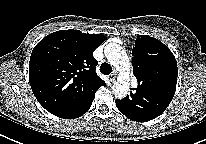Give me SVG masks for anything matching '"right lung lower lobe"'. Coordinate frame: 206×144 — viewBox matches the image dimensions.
Segmentation results:
<instances>
[{
  "instance_id": "98d812e1",
  "label": "right lung lower lobe",
  "mask_w": 206,
  "mask_h": 144,
  "mask_svg": "<svg viewBox=\"0 0 206 144\" xmlns=\"http://www.w3.org/2000/svg\"><path fill=\"white\" fill-rule=\"evenodd\" d=\"M95 98V94H93L84 104H82L80 107L71 110L69 113H67L66 115H64L61 118H67V119H72V118H77L82 116L84 113H86L89 108L92 105V102Z\"/></svg>"
}]
</instances>
